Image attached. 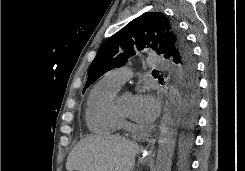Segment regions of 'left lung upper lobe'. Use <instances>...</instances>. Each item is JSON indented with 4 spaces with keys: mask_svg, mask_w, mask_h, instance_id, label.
<instances>
[{
    "mask_svg": "<svg viewBox=\"0 0 245 171\" xmlns=\"http://www.w3.org/2000/svg\"><path fill=\"white\" fill-rule=\"evenodd\" d=\"M146 46L156 50L157 54H165V58H171L174 62L194 61L192 51L177 24L161 12H146L100 46L89 68L83 93L109 70L124 66L135 55L136 49L142 50Z\"/></svg>",
    "mask_w": 245,
    "mask_h": 171,
    "instance_id": "5c2ea615",
    "label": "left lung upper lobe"
}]
</instances>
